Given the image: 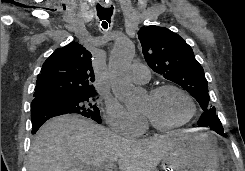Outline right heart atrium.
<instances>
[{
	"mask_svg": "<svg viewBox=\"0 0 245 171\" xmlns=\"http://www.w3.org/2000/svg\"><path fill=\"white\" fill-rule=\"evenodd\" d=\"M105 120L114 132L128 138L138 137L146 129L143 116L130 113L116 101L107 103Z\"/></svg>",
	"mask_w": 245,
	"mask_h": 171,
	"instance_id": "d8ad5b80",
	"label": "right heart atrium"
}]
</instances>
